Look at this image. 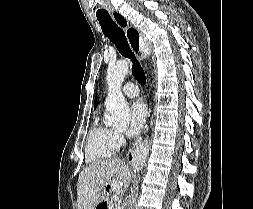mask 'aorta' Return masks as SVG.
<instances>
[{
    "mask_svg": "<svg viewBox=\"0 0 253 209\" xmlns=\"http://www.w3.org/2000/svg\"><path fill=\"white\" fill-rule=\"evenodd\" d=\"M129 70V62L120 60L107 69L108 96L106 99V125L125 128L129 123L130 109L122 94L121 87Z\"/></svg>",
    "mask_w": 253,
    "mask_h": 209,
    "instance_id": "aorta-1",
    "label": "aorta"
}]
</instances>
